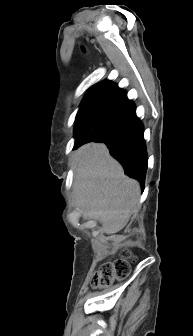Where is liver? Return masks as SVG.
Returning a JSON list of instances; mask_svg holds the SVG:
<instances>
[{"label":"liver","instance_id":"1","mask_svg":"<svg viewBox=\"0 0 193 336\" xmlns=\"http://www.w3.org/2000/svg\"><path fill=\"white\" fill-rule=\"evenodd\" d=\"M72 166L75 204L83 217L99 220L106 234L121 230L138 211L139 183L125 176L102 143L80 147L72 157Z\"/></svg>","mask_w":193,"mask_h":336}]
</instances>
